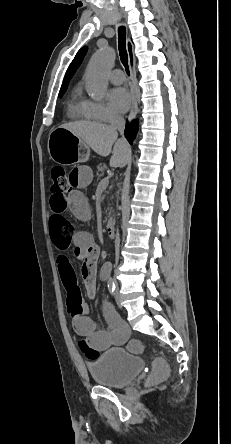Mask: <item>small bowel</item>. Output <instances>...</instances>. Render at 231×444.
I'll use <instances>...</instances> for the list:
<instances>
[{
  "mask_svg": "<svg viewBox=\"0 0 231 444\" xmlns=\"http://www.w3.org/2000/svg\"><path fill=\"white\" fill-rule=\"evenodd\" d=\"M93 171L87 165L74 167L69 175L70 194L63 198L52 196L50 199L51 215L48 225L53 245L58 251L57 263L60 277L67 292V307L74 331L84 337L88 345L98 351L125 343L130 335L128 326L122 322L109 307L106 308L110 328L98 330L93 319L88 315V306L83 301L77 283L76 273L67 251L72 247L73 257L82 263L83 277L87 294L96 295V264L99 248L92 236L85 231H75L72 224L64 217L68 209L79 219L87 220L91 215L90 205L80 191L90 185ZM108 272V266L103 268ZM102 271V272H103Z\"/></svg>",
  "mask_w": 231,
  "mask_h": 444,
  "instance_id": "c3829d8e",
  "label": "small bowel"
}]
</instances>
